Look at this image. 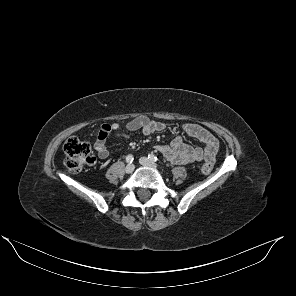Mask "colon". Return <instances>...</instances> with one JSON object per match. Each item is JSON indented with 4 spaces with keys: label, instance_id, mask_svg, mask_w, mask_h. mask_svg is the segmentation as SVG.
I'll use <instances>...</instances> for the list:
<instances>
[{
    "label": "colon",
    "instance_id": "colon-1",
    "mask_svg": "<svg viewBox=\"0 0 296 296\" xmlns=\"http://www.w3.org/2000/svg\"><path fill=\"white\" fill-rule=\"evenodd\" d=\"M63 149L65 165L73 172L81 171L86 164L94 161L90 144L77 137L67 139ZM213 164V161H206L202 166V172L209 174L213 169Z\"/></svg>",
    "mask_w": 296,
    "mask_h": 296
}]
</instances>
